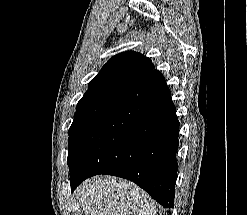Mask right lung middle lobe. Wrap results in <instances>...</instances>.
Listing matches in <instances>:
<instances>
[{
  "label": "right lung middle lobe",
  "mask_w": 247,
  "mask_h": 215,
  "mask_svg": "<svg viewBox=\"0 0 247 215\" xmlns=\"http://www.w3.org/2000/svg\"><path fill=\"white\" fill-rule=\"evenodd\" d=\"M127 91V88H114L86 92L80 99L69 129L67 159L69 170L85 134L122 99Z\"/></svg>",
  "instance_id": "1"
}]
</instances>
